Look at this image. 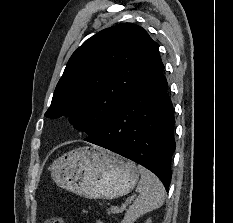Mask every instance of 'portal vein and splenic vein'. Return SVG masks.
Wrapping results in <instances>:
<instances>
[{"label": "portal vein and splenic vein", "instance_id": "obj_1", "mask_svg": "<svg viewBox=\"0 0 233 223\" xmlns=\"http://www.w3.org/2000/svg\"><path fill=\"white\" fill-rule=\"evenodd\" d=\"M126 205H123V207H120V209H118V213L119 211H123V209H125Z\"/></svg>", "mask_w": 233, "mask_h": 223}]
</instances>
